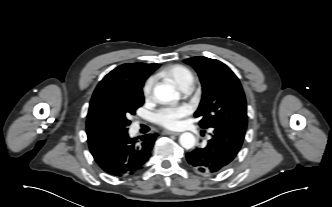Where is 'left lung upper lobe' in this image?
Segmentation results:
<instances>
[{
  "label": "left lung upper lobe",
  "mask_w": 332,
  "mask_h": 207,
  "mask_svg": "<svg viewBox=\"0 0 332 207\" xmlns=\"http://www.w3.org/2000/svg\"><path fill=\"white\" fill-rule=\"evenodd\" d=\"M197 72L202 83V100L195 117L200 127H234L246 130V99L236 75L224 63L207 57L184 60Z\"/></svg>",
  "instance_id": "5c2ea615"
}]
</instances>
